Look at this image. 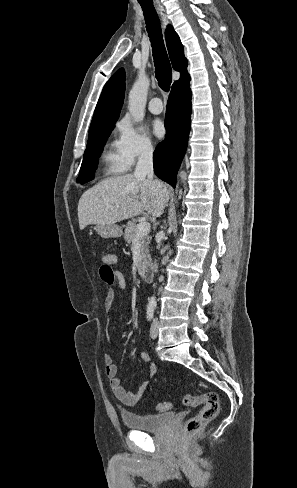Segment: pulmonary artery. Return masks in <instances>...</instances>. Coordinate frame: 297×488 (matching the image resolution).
Here are the masks:
<instances>
[{"mask_svg": "<svg viewBox=\"0 0 297 488\" xmlns=\"http://www.w3.org/2000/svg\"><path fill=\"white\" fill-rule=\"evenodd\" d=\"M148 110L152 114H160L163 111L161 100L157 97L152 98L148 103Z\"/></svg>", "mask_w": 297, "mask_h": 488, "instance_id": "obj_1", "label": "pulmonary artery"}]
</instances>
